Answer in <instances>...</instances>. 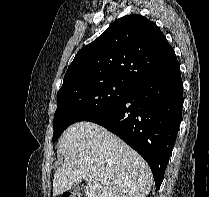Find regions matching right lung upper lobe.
Segmentation results:
<instances>
[{"label":"right lung upper lobe","mask_w":209,"mask_h":197,"mask_svg":"<svg viewBox=\"0 0 209 197\" xmlns=\"http://www.w3.org/2000/svg\"><path fill=\"white\" fill-rule=\"evenodd\" d=\"M176 60L173 48L154 22L141 15H126L77 53L62 87L105 80L134 87Z\"/></svg>","instance_id":"1"}]
</instances>
